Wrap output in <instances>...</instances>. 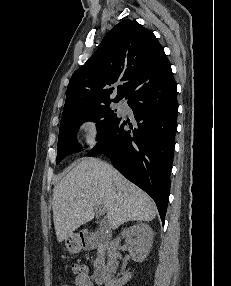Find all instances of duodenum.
Returning a JSON list of instances; mask_svg holds the SVG:
<instances>
[{
  "label": "duodenum",
  "instance_id": "duodenum-1",
  "mask_svg": "<svg viewBox=\"0 0 231 286\" xmlns=\"http://www.w3.org/2000/svg\"><path fill=\"white\" fill-rule=\"evenodd\" d=\"M110 236L102 231L96 233H83L80 235L79 243L83 250L97 249L99 257L96 261L93 277L94 280L101 284L107 274V264L105 254L109 247Z\"/></svg>",
  "mask_w": 231,
  "mask_h": 286
}]
</instances>
